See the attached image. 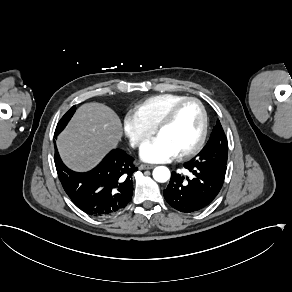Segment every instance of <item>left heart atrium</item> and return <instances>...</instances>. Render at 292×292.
Listing matches in <instances>:
<instances>
[{"label":"left heart atrium","mask_w":292,"mask_h":292,"mask_svg":"<svg viewBox=\"0 0 292 292\" xmlns=\"http://www.w3.org/2000/svg\"><path fill=\"white\" fill-rule=\"evenodd\" d=\"M179 154L178 148L161 135L149 139L140 149V157L147 162H167Z\"/></svg>","instance_id":"obj_1"}]
</instances>
